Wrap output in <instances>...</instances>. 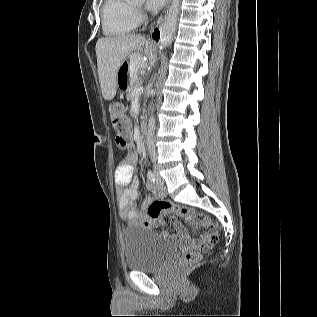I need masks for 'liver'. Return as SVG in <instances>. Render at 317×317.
Wrapping results in <instances>:
<instances>
[{"instance_id":"obj_1","label":"liver","mask_w":317,"mask_h":317,"mask_svg":"<svg viewBox=\"0 0 317 317\" xmlns=\"http://www.w3.org/2000/svg\"><path fill=\"white\" fill-rule=\"evenodd\" d=\"M95 50L99 82L105 100L115 97L118 70L131 53L134 52L137 67L147 66L140 53L154 58V45L145 37L135 34L100 38Z\"/></svg>"}]
</instances>
